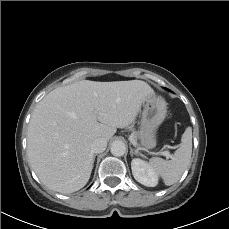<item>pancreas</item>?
Segmentation results:
<instances>
[{"label": "pancreas", "instance_id": "1", "mask_svg": "<svg viewBox=\"0 0 229 229\" xmlns=\"http://www.w3.org/2000/svg\"><path fill=\"white\" fill-rule=\"evenodd\" d=\"M137 138H138V133L137 132H133L131 134V139L134 141V142H137Z\"/></svg>", "mask_w": 229, "mask_h": 229}]
</instances>
